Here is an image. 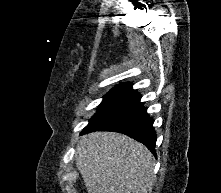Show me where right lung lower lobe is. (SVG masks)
I'll use <instances>...</instances> for the list:
<instances>
[{
    "label": "right lung lower lobe",
    "instance_id": "98d812e1",
    "mask_svg": "<svg viewBox=\"0 0 221 193\" xmlns=\"http://www.w3.org/2000/svg\"><path fill=\"white\" fill-rule=\"evenodd\" d=\"M139 96L120 110L111 113L101 120L89 123L82 133L92 131H113L126 134L142 142L155 153L157 135L153 128V119L149 117L147 109L140 102Z\"/></svg>",
    "mask_w": 221,
    "mask_h": 193
}]
</instances>
